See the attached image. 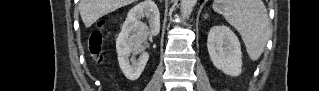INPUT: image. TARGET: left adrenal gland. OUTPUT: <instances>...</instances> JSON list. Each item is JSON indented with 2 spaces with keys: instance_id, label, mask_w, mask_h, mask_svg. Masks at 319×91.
Instances as JSON below:
<instances>
[{
  "instance_id": "a2214340",
  "label": "left adrenal gland",
  "mask_w": 319,
  "mask_h": 91,
  "mask_svg": "<svg viewBox=\"0 0 319 91\" xmlns=\"http://www.w3.org/2000/svg\"><path fill=\"white\" fill-rule=\"evenodd\" d=\"M207 18H208V14L205 15V19H207Z\"/></svg>"
}]
</instances>
